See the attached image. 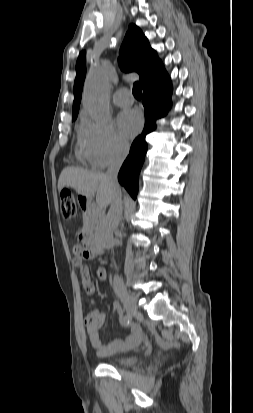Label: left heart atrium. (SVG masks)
<instances>
[{
	"label": "left heart atrium",
	"instance_id": "39dd6f15",
	"mask_svg": "<svg viewBox=\"0 0 253 413\" xmlns=\"http://www.w3.org/2000/svg\"><path fill=\"white\" fill-rule=\"evenodd\" d=\"M143 125V118L137 110H125L118 116V126L125 137L136 135Z\"/></svg>",
	"mask_w": 253,
	"mask_h": 413
}]
</instances>
